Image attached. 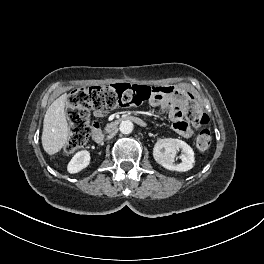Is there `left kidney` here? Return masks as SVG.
<instances>
[{
    "mask_svg": "<svg viewBox=\"0 0 264 264\" xmlns=\"http://www.w3.org/2000/svg\"><path fill=\"white\" fill-rule=\"evenodd\" d=\"M182 149L183 154L180 156L182 162L175 164L177 151ZM154 159L167 170L186 172L194 166V151L184 141L173 138L159 139L153 149Z\"/></svg>",
    "mask_w": 264,
    "mask_h": 264,
    "instance_id": "left-kidney-1",
    "label": "left kidney"
}]
</instances>
